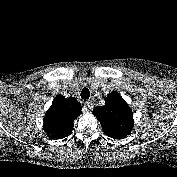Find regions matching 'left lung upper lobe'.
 Instances as JSON below:
<instances>
[{
  "mask_svg": "<svg viewBox=\"0 0 177 177\" xmlns=\"http://www.w3.org/2000/svg\"><path fill=\"white\" fill-rule=\"evenodd\" d=\"M93 114L101 123L103 132L114 139H123L133 128L132 109L118 92L105 98V105L93 109Z\"/></svg>",
  "mask_w": 177,
  "mask_h": 177,
  "instance_id": "left-lung-upper-lobe-1",
  "label": "left lung upper lobe"
}]
</instances>
